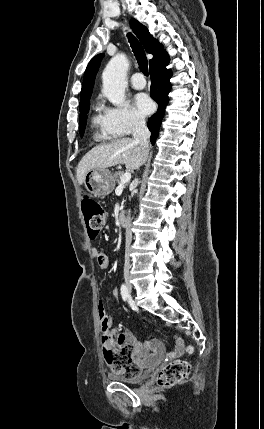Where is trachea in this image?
<instances>
[{
  "label": "trachea",
  "mask_w": 264,
  "mask_h": 429,
  "mask_svg": "<svg viewBox=\"0 0 264 429\" xmlns=\"http://www.w3.org/2000/svg\"><path fill=\"white\" fill-rule=\"evenodd\" d=\"M127 36L141 72L148 76V61L141 43L131 33H128Z\"/></svg>",
  "instance_id": "3493384b"
}]
</instances>
